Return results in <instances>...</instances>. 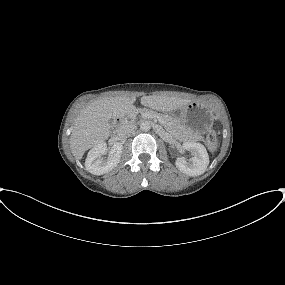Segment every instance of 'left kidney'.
<instances>
[{
	"instance_id": "5707ae66",
	"label": "left kidney",
	"mask_w": 285,
	"mask_h": 285,
	"mask_svg": "<svg viewBox=\"0 0 285 285\" xmlns=\"http://www.w3.org/2000/svg\"><path fill=\"white\" fill-rule=\"evenodd\" d=\"M183 149L190 151L193 154L191 162H187L184 157H177L176 167L189 176H198L203 174L209 164V156L206 148L201 143L185 142Z\"/></svg>"
}]
</instances>
